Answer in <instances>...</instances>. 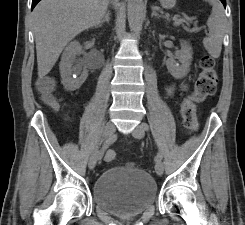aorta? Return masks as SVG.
<instances>
[{
    "label": "aorta",
    "mask_w": 245,
    "mask_h": 225,
    "mask_svg": "<svg viewBox=\"0 0 245 225\" xmlns=\"http://www.w3.org/2000/svg\"><path fill=\"white\" fill-rule=\"evenodd\" d=\"M128 23L134 34H139L143 22V0H128Z\"/></svg>",
    "instance_id": "1"
}]
</instances>
